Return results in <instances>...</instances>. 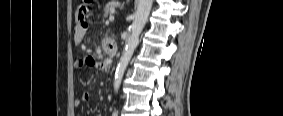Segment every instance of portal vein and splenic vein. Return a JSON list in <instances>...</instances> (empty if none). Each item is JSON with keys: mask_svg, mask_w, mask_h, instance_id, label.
Returning a JSON list of instances; mask_svg holds the SVG:
<instances>
[{"mask_svg": "<svg viewBox=\"0 0 283 116\" xmlns=\"http://www.w3.org/2000/svg\"><path fill=\"white\" fill-rule=\"evenodd\" d=\"M109 21H110V22L114 21V16H110V17H109Z\"/></svg>", "mask_w": 283, "mask_h": 116, "instance_id": "portal-vein-and-splenic-vein-1", "label": "portal vein and splenic vein"}]
</instances>
